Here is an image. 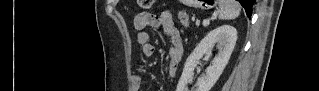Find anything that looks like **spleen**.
Here are the masks:
<instances>
[{
    "label": "spleen",
    "instance_id": "spleen-1",
    "mask_svg": "<svg viewBox=\"0 0 319 91\" xmlns=\"http://www.w3.org/2000/svg\"><path fill=\"white\" fill-rule=\"evenodd\" d=\"M240 5L235 0H220L218 18L221 20H232L239 16Z\"/></svg>",
    "mask_w": 319,
    "mask_h": 91
}]
</instances>
